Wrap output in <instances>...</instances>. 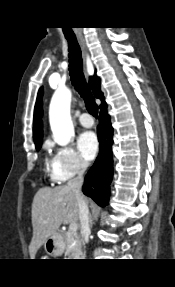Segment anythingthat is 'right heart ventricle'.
<instances>
[{"label":"right heart ventricle","mask_w":175,"mask_h":287,"mask_svg":"<svg viewBox=\"0 0 175 287\" xmlns=\"http://www.w3.org/2000/svg\"><path fill=\"white\" fill-rule=\"evenodd\" d=\"M46 167L47 168H50L51 167V164H50V162L46 159Z\"/></svg>","instance_id":"1"}]
</instances>
